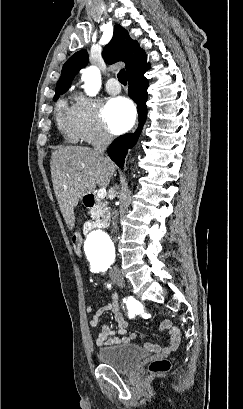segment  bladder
I'll return each instance as SVG.
<instances>
[{
  "instance_id": "obj_1",
  "label": "bladder",
  "mask_w": 243,
  "mask_h": 409,
  "mask_svg": "<svg viewBox=\"0 0 243 409\" xmlns=\"http://www.w3.org/2000/svg\"><path fill=\"white\" fill-rule=\"evenodd\" d=\"M146 356L147 351L135 344L105 346L97 352V357L102 364L119 372L129 371Z\"/></svg>"
}]
</instances>
